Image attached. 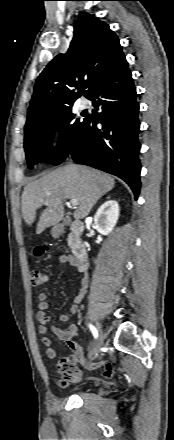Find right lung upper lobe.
Here are the masks:
<instances>
[{"label": "right lung upper lobe", "instance_id": "cb5924a9", "mask_svg": "<svg viewBox=\"0 0 174 440\" xmlns=\"http://www.w3.org/2000/svg\"><path fill=\"white\" fill-rule=\"evenodd\" d=\"M126 61L120 42L109 26L89 14L74 24L66 54L57 55L37 78L25 131L70 109L82 84L89 98L104 78Z\"/></svg>", "mask_w": 174, "mask_h": 440}]
</instances>
